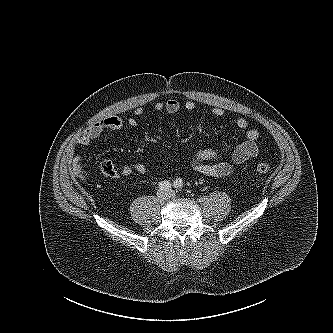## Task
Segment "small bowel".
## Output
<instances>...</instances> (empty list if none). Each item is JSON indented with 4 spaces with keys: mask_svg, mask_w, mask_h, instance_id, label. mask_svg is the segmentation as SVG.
<instances>
[{
    "mask_svg": "<svg viewBox=\"0 0 333 333\" xmlns=\"http://www.w3.org/2000/svg\"><path fill=\"white\" fill-rule=\"evenodd\" d=\"M157 112H167L168 114H177L182 108L188 112L195 110L196 105L193 101H186L183 105L175 98H170L167 101H159L154 106ZM211 113L215 117H222L224 110L220 107H213ZM143 115L142 108L134 110V116L140 117ZM135 117L122 119L118 116H110L99 120L88 126L83 134L78 138L79 146H88L94 140L99 138L106 131H119L126 126L135 127L137 120ZM235 125L240 130L245 132V140L235 147L232 152L230 161L220 160V154L213 149H204L197 152L191 159L192 168L206 176L210 177H226L233 173L236 167L244 164L251 158L256 157L260 152V147L257 143L259 132L255 128H249L248 121L244 117H237ZM99 171L112 179L127 177L131 174H145L147 167L143 163L126 164L119 170L110 161H101L98 164ZM69 172L72 176L87 177L88 174L83 168L81 158L74 156L69 160Z\"/></svg>",
    "mask_w": 333,
    "mask_h": 333,
    "instance_id": "small-bowel-1",
    "label": "small bowel"
}]
</instances>
